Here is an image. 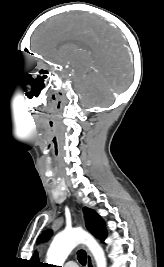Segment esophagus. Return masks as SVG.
Here are the masks:
<instances>
[{
  "mask_svg": "<svg viewBox=\"0 0 164 267\" xmlns=\"http://www.w3.org/2000/svg\"><path fill=\"white\" fill-rule=\"evenodd\" d=\"M87 267H94V260L89 251H87Z\"/></svg>",
  "mask_w": 164,
  "mask_h": 267,
  "instance_id": "obj_1",
  "label": "esophagus"
}]
</instances>
